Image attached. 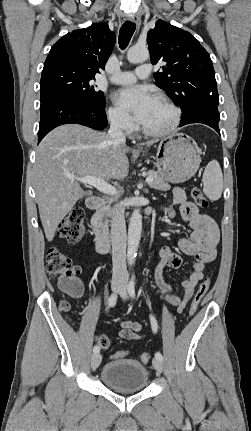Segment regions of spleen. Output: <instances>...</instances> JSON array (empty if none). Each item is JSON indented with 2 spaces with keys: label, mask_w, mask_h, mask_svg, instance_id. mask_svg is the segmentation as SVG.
<instances>
[{
  "label": "spleen",
  "mask_w": 251,
  "mask_h": 431,
  "mask_svg": "<svg viewBox=\"0 0 251 431\" xmlns=\"http://www.w3.org/2000/svg\"><path fill=\"white\" fill-rule=\"evenodd\" d=\"M202 181L204 194L210 200H218L222 194L223 175L217 160H211L208 163L204 170Z\"/></svg>",
  "instance_id": "3e777b00"
}]
</instances>
